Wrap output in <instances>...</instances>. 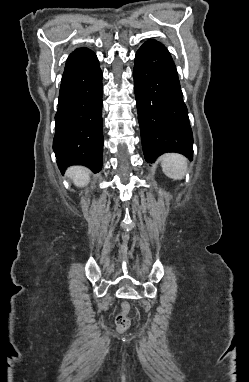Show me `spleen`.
Here are the masks:
<instances>
[{
    "label": "spleen",
    "instance_id": "obj_1",
    "mask_svg": "<svg viewBox=\"0 0 249 382\" xmlns=\"http://www.w3.org/2000/svg\"><path fill=\"white\" fill-rule=\"evenodd\" d=\"M163 173L174 180H182L187 172V159L177 153H167L161 156Z\"/></svg>",
    "mask_w": 249,
    "mask_h": 382
}]
</instances>
